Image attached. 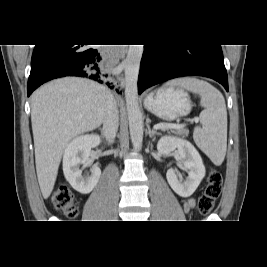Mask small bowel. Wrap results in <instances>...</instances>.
Returning a JSON list of instances; mask_svg holds the SVG:
<instances>
[{"mask_svg":"<svg viewBox=\"0 0 267 267\" xmlns=\"http://www.w3.org/2000/svg\"><path fill=\"white\" fill-rule=\"evenodd\" d=\"M194 204H195L194 199L190 198V199H188V200H186V201L184 202V209H185L186 211H188V210H190L191 208H193Z\"/></svg>","mask_w":267,"mask_h":267,"instance_id":"obj_1","label":"small bowel"}]
</instances>
